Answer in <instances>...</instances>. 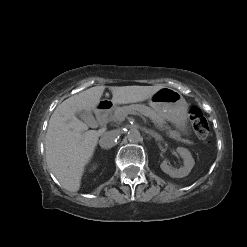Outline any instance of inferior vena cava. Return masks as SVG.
<instances>
[{
    "label": "inferior vena cava",
    "mask_w": 247,
    "mask_h": 247,
    "mask_svg": "<svg viewBox=\"0 0 247 247\" xmlns=\"http://www.w3.org/2000/svg\"><path fill=\"white\" fill-rule=\"evenodd\" d=\"M118 137V130L107 131L101 136L99 144L104 149L111 148L115 145V141L118 139Z\"/></svg>",
    "instance_id": "1"
}]
</instances>
